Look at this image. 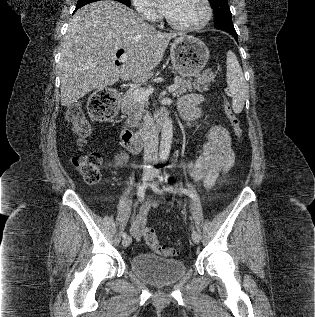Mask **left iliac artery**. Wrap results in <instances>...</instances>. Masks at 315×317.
<instances>
[{
  "instance_id": "left-iliac-artery-1",
  "label": "left iliac artery",
  "mask_w": 315,
  "mask_h": 317,
  "mask_svg": "<svg viewBox=\"0 0 315 317\" xmlns=\"http://www.w3.org/2000/svg\"><path fill=\"white\" fill-rule=\"evenodd\" d=\"M164 179H165V182H166L167 181V176H165V178L163 176L159 177V181L160 182H163ZM154 188H155V190L157 192H161L157 185H155ZM163 189L166 190V191H169V192H173L174 191V188L172 186H169V185H166V186L164 185ZM178 192H181V193H184L186 195H189L190 197H194V194L192 192H190V191H188L186 189H183V188L178 189Z\"/></svg>"
}]
</instances>
